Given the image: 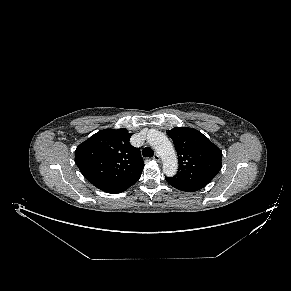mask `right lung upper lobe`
I'll return each mask as SVG.
<instances>
[{
	"mask_svg": "<svg viewBox=\"0 0 291 291\" xmlns=\"http://www.w3.org/2000/svg\"><path fill=\"white\" fill-rule=\"evenodd\" d=\"M127 129H104L75 151V162L83 176L98 189L120 193L135 184L144 167L139 148L129 143Z\"/></svg>",
	"mask_w": 291,
	"mask_h": 291,
	"instance_id": "cb5924a9",
	"label": "right lung upper lobe"
}]
</instances>
